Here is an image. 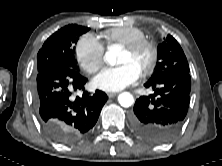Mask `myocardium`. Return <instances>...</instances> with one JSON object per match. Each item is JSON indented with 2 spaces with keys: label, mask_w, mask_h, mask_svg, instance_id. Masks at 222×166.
Segmentation results:
<instances>
[{
  "label": "myocardium",
  "mask_w": 222,
  "mask_h": 166,
  "mask_svg": "<svg viewBox=\"0 0 222 166\" xmlns=\"http://www.w3.org/2000/svg\"><path fill=\"white\" fill-rule=\"evenodd\" d=\"M124 50L130 54H137L141 51H147L149 53L148 64L140 71L142 75H147L151 73L157 63L158 52L156 46L147 40H141L133 44L124 46Z\"/></svg>",
  "instance_id": "myocardium-1"
}]
</instances>
